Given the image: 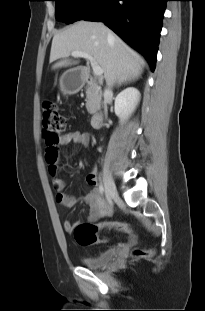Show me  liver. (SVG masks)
<instances>
[{
	"instance_id": "6515ba94",
	"label": "liver",
	"mask_w": 205,
	"mask_h": 311,
	"mask_svg": "<svg viewBox=\"0 0 205 311\" xmlns=\"http://www.w3.org/2000/svg\"><path fill=\"white\" fill-rule=\"evenodd\" d=\"M75 51L92 56L102 68L106 80L126 82L138 78L142 72L137 53L103 23L78 21L55 34L50 63L67 58ZM68 65L69 62L63 60L52 68Z\"/></svg>"
}]
</instances>
